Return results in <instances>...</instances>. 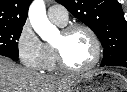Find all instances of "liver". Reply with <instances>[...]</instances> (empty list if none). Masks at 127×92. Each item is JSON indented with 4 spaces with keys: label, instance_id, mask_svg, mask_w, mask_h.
<instances>
[{
    "label": "liver",
    "instance_id": "liver-1",
    "mask_svg": "<svg viewBox=\"0 0 127 92\" xmlns=\"http://www.w3.org/2000/svg\"><path fill=\"white\" fill-rule=\"evenodd\" d=\"M79 76H47L0 56V92H70Z\"/></svg>",
    "mask_w": 127,
    "mask_h": 92
}]
</instances>
